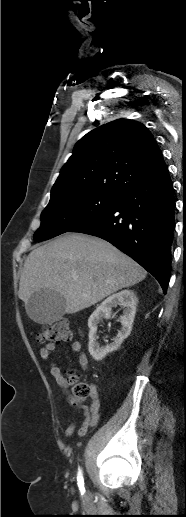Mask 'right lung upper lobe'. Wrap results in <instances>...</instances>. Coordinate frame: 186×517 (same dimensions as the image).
Listing matches in <instances>:
<instances>
[{"mask_svg": "<svg viewBox=\"0 0 186 517\" xmlns=\"http://www.w3.org/2000/svg\"><path fill=\"white\" fill-rule=\"evenodd\" d=\"M167 172L149 130L139 122L119 119L77 142L52 188L51 199L78 193L120 196Z\"/></svg>", "mask_w": 186, "mask_h": 517, "instance_id": "1", "label": "right lung upper lobe"}]
</instances>
